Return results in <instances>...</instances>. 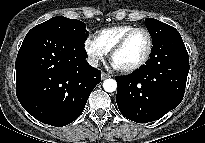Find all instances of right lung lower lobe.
Returning a JSON list of instances; mask_svg holds the SVG:
<instances>
[{
	"label": "right lung lower lobe",
	"mask_w": 205,
	"mask_h": 143,
	"mask_svg": "<svg viewBox=\"0 0 205 143\" xmlns=\"http://www.w3.org/2000/svg\"><path fill=\"white\" fill-rule=\"evenodd\" d=\"M84 45L46 28H32L16 59V94L42 123L61 127L83 112L101 71L87 61Z\"/></svg>",
	"instance_id": "1"
}]
</instances>
